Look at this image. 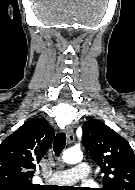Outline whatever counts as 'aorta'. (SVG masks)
Here are the masks:
<instances>
[{"label": "aorta", "instance_id": "762f6f07", "mask_svg": "<svg viewBox=\"0 0 135 190\" xmlns=\"http://www.w3.org/2000/svg\"><path fill=\"white\" fill-rule=\"evenodd\" d=\"M63 161L68 164H75L82 160L83 154L80 150L77 149H67L63 153Z\"/></svg>", "mask_w": 135, "mask_h": 190}]
</instances>
